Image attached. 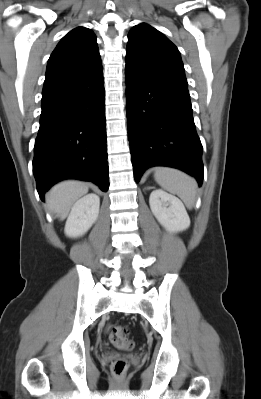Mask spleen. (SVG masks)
Masks as SVG:
<instances>
[{
	"mask_svg": "<svg viewBox=\"0 0 261 399\" xmlns=\"http://www.w3.org/2000/svg\"><path fill=\"white\" fill-rule=\"evenodd\" d=\"M154 178L163 189L178 195L188 208L195 205L197 183L192 177L176 169L158 167Z\"/></svg>",
	"mask_w": 261,
	"mask_h": 399,
	"instance_id": "3e777b00",
	"label": "spleen"
}]
</instances>
